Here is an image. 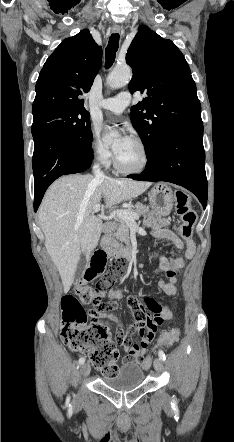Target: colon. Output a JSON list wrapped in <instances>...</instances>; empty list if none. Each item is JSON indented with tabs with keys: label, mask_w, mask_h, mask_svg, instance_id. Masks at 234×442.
<instances>
[{
	"label": "colon",
	"mask_w": 234,
	"mask_h": 442,
	"mask_svg": "<svg viewBox=\"0 0 234 442\" xmlns=\"http://www.w3.org/2000/svg\"><path fill=\"white\" fill-rule=\"evenodd\" d=\"M176 211L182 222L180 234L184 239H188L192 233L196 215L191 208V199L184 191L176 192ZM127 266L128 261L125 260H113L107 266L106 255L96 252L83 279L75 287V295L68 296L61 302L62 324L60 331L63 342L71 349L86 354L91 364L100 369L106 377L117 374L118 353L110 332L88 328L87 320L90 314H103L102 308L106 304V298L118 299L121 297L119 292H113L110 289L122 277ZM92 282L94 285H89ZM85 304H93L94 308L87 313L83 307ZM127 305L133 315L161 314L163 308L154 298L141 296L127 298ZM178 336L179 330L173 328L166 332L160 340L162 345H171ZM130 343L132 344V341ZM157 345H160V342H157ZM153 350H156V347H153ZM159 350H162V347H159ZM151 364V357L144 359L141 365L142 370H150Z\"/></svg>",
	"instance_id": "colon-1"
}]
</instances>
